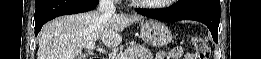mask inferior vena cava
<instances>
[{"label": "inferior vena cava", "instance_id": "602c4592", "mask_svg": "<svg viewBox=\"0 0 261 59\" xmlns=\"http://www.w3.org/2000/svg\"><path fill=\"white\" fill-rule=\"evenodd\" d=\"M98 11L105 17H112L116 11L113 0H100Z\"/></svg>", "mask_w": 261, "mask_h": 59}]
</instances>
